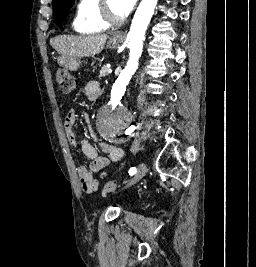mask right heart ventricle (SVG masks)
I'll return each instance as SVG.
<instances>
[{
	"label": "right heart ventricle",
	"mask_w": 256,
	"mask_h": 267,
	"mask_svg": "<svg viewBox=\"0 0 256 267\" xmlns=\"http://www.w3.org/2000/svg\"><path fill=\"white\" fill-rule=\"evenodd\" d=\"M82 15L73 23V29L81 36H104L100 23L102 0H82Z\"/></svg>",
	"instance_id": "e07e8e85"
}]
</instances>
